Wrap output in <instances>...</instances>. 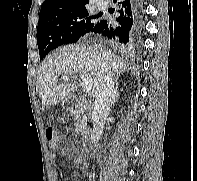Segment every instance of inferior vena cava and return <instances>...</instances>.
<instances>
[{
  "mask_svg": "<svg viewBox=\"0 0 197 181\" xmlns=\"http://www.w3.org/2000/svg\"><path fill=\"white\" fill-rule=\"evenodd\" d=\"M113 76L104 75L100 87L95 96V104L92 112L93 136L95 141L101 139L106 118L108 117L110 107L114 98Z\"/></svg>",
  "mask_w": 197,
  "mask_h": 181,
  "instance_id": "602c4592",
  "label": "inferior vena cava"
}]
</instances>
